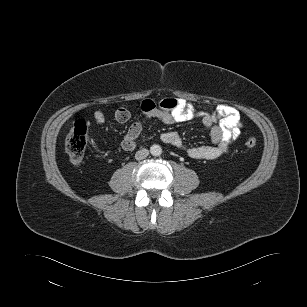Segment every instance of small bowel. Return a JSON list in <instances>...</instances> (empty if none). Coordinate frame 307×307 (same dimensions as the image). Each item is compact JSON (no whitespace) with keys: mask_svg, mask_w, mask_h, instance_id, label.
Segmentation results:
<instances>
[{"mask_svg":"<svg viewBox=\"0 0 307 307\" xmlns=\"http://www.w3.org/2000/svg\"><path fill=\"white\" fill-rule=\"evenodd\" d=\"M143 117L156 118L166 124L186 122L199 118L202 124L210 130L211 144L187 147L179 134L175 131H167L161 135V140L168 145L184 149L187 155L193 159L213 160L228 152L230 144L240 135L241 120L236 108L221 104L214 112L203 111L193 104L179 98H166L156 104L151 99H144L138 103ZM114 118L119 123H125L130 119V111L125 107H119L114 112ZM93 119L97 124L105 122L102 111H95ZM143 128L142 120L133 122L121 142L125 151H133L137 145V139Z\"/></svg>","mask_w":307,"mask_h":307,"instance_id":"c3829d8e","label":"small bowel"}]
</instances>
